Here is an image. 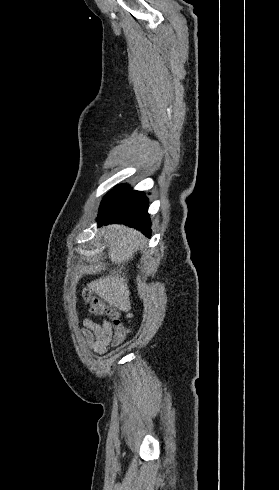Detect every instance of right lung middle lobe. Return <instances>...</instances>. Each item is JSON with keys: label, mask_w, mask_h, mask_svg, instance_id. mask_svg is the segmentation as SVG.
<instances>
[{"label": "right lung middle lobe", "mask_w": 279, "mask_h": 490, "mask_svg": "<svg viewBox=\"0 0 279 490\" xmlns=\"http://www.w3.org/2000/svg\"><path fill=\"white\" fill-rule=\"evenodd\" d=\"M129 189H130V187L128 185H119V186L115 187L112 191L107 193L101 202V206H100V210H99V213H100L99 217H101L102 215H104L107 212V210L110 207L111 202L118 195H120L121 193H123Z\"/></svg>", "instance_id": "1"}]
</instances>
